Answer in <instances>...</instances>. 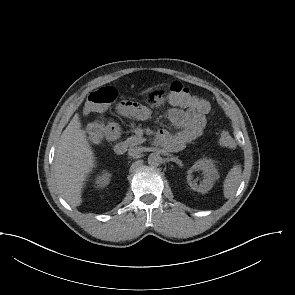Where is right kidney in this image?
Listing matches in <instances>:
<instances>
[{
	"label": "right kidney",
	"instance_id": "ca27d5eb",
	"mask_svg": "<svg viewBox=\"0 0 295 295\" xmlns=\"http://www.w3.org/2000/svg\"><path fill=\"white\" fill-rule=\"evenodd\" d=\"M110 182V174L107 172H103V174L99 175L96 178L95 184L98 188L106 187Z\"/></svg>",
	"mask_w": 295,
	"mask_h": 295
}]
</instances>
